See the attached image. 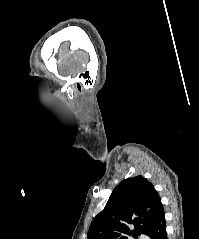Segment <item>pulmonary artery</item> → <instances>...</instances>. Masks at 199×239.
Masks as SVG:
<instances>
[{
	"label": "pulmonary artery",
	"mask_w": 199,
	"mask_h": 239,
	"mask_svg": "<svg viewBox=\"0 0 199 239\" xmlns=\"http://www.w3.org/2000/svg\"><path fill=\"white\" fill-rule=\"evenodd\" d=\"M141 239H148V237L144 234H141Z\"/></svg>",
	"instance_id": "pulmonary-artery-1"
}]
</instances>
